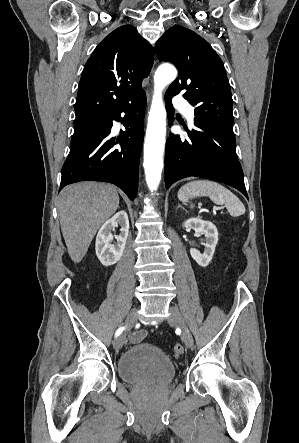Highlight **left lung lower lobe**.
I'll return each mask as SVG.
<instances>
[{"label":"left lung lower lobe","instance_id":"0a47b994","mask_svg":"<svg viewBox=\"0 0 299 443\" xmlns=\"http://www.w3.org/2000/svg\"><path fill=\"white\" fill-rule=\"evenodd\" d=\"M172 96L166 95L169 125H172ZM188 139L170 134L165 150V184L188 176L213 179L238 189L248 197L243 171L235 152L232 131L206 121H194Z\"/></svg>","mask_w":299,"mask_h":443}]
</instances>
